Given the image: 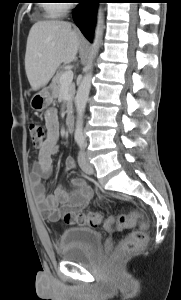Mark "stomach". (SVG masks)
Here are the masks:
<instances>
[{"mask_svg":"<svg viewBox=\"0 0 181 300\" xmlns=\"http://www.w3.org/2000/svg\"><path fill=\"white\" fill-rule=\"evenodd\" d=\"M53 99L52 87H45L31 98L30 106L36 111H41L47 108L53 102Z\"/></svg>","mask_w":181,"mask_h":300,"instance_id":"obj_1","label":"stomach"}]
</instances>
